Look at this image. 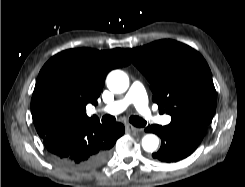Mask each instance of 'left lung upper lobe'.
Listing matches in <instances>:
<instances>
[{
  "mask_svg": "<svg viewBox=\"0 0 245 187\" xmlns=\"http://www.w3.org/2000/svg\"><path fill=\"white\" fill-rule=\"evenodd\" d=\"M126 53L147 77L153 101L171 115V124L211 123L217 95L210 68L199 52L177 41L159 40Z\"/></svg>",
  "mask_w": 245,
  "mask_h": 187,
  "instance_id": "5c2ea615",
  "label": "left lung upper lobe"
}]
</instances>
